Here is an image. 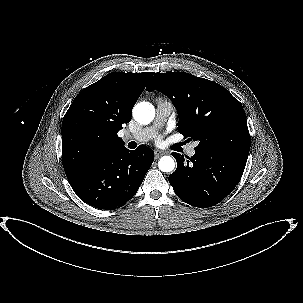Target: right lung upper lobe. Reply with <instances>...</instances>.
I'll list each match as a JSON object with an SVG mask.
<instances>
[{
	"mask_svg": "<svg viewBox=\"0 0 303 303\" xmlns=\"http://www.w3.org/2000/svg\"><path fill=\"white\" fill-rule=\"evenodd\" d=\"M154 72H112L84 88L62 122V163L66 176L124 148L117 133Z\"/></svg>",
	"mask_w": 303,
	"mask_h": 303,
	"instance_id": "right-lung-upper-lobe-1",
	"label": "right lung upper lobe"
}]
</instances>
